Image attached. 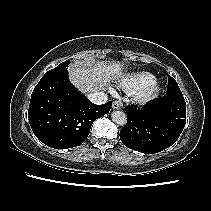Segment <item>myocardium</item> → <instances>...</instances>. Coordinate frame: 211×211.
<instances>
[{
    "label": "myocardium",
    "instance_id": "f54148a6",
    "mask_svg": "<svg viewBox=\"0 0 211 211\" xmlns=\"http://www.w3.org/2000/svg\"><path fill=\"white\" fill-rule=\"evenodd\" d=\"M161 86L157 81H154L135 94V99L139 103H148L155 99L160 93Z\"/></svg>",
    "mask_w": 211,
    "mask_h": 211
}]
</instances>
